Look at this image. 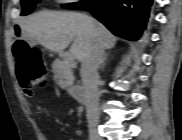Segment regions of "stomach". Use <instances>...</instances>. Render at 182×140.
Masks as SVG:
<instances>
[{
  "mask_svg": "<svg viewBox=\"0 0 182 140\" xmlns=\"http://www.w3.org/2000/svg\"><path fill=\"white\" fill-rule=\"evenodd\" d=\"M12 30H23L24 26L23 25H12L11 26ZM14 35L16 36V41H29L30 44H33L35 40H32L31 36H26L27 32L26 31H15Z\"/></svg>",
  "mask_w": 182,
  "mask_h": 140,
  "instance_id": "0dacf381",
  "label": "stomach"
}]
</instances>
